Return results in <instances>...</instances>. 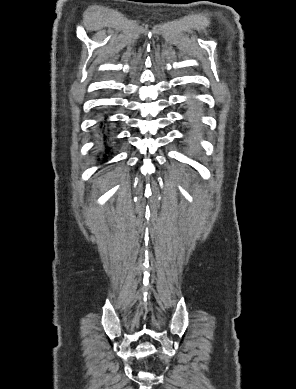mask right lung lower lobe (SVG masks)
I'll list each match as a JSON object with an SVG mask.
<instances>
[{
    "mask_svg": "<svg viewBox=\"0 0 296 389\" xmlns=\"http://www.w3.org/2000/svg\"><path fill=\"white\" fill-rule=\"evenodd\" d=\"M107 138H108V132L105 131V134H103V136H102V140H103V143H102V144H104V146H105V155H104V156H106V155L109 153L110 149H111V148L108 146ZM106 159H107V158H105V160H106Z\"/></svg>",
    "mask_w": 296,
    "mask_h": 389,
    "instance_id": "1",
    "label": "right lung lower lobe"
}]
</instances>
